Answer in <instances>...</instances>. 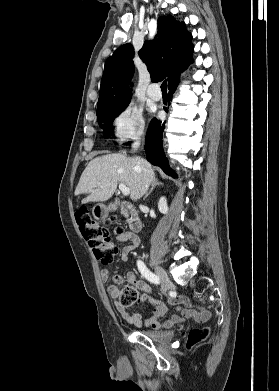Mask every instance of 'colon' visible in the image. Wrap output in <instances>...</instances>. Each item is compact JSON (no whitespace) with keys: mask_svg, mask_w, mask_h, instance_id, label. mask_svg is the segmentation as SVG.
Listing matches in <instances>:
<instances>
[{"mask_svg":"<svg viewBox=\"0 0 279 391\" xmlns=\"http://www.w3.org/2000/svg\"><path fill=\"white\" fill-rule=\"evenodd\" d=\"M76 221L83 238L90 245L95 257L103 264L113 261L118 252V246L111 240L109 233L110 222L99 223L93 219L87 209L76 213ZM117 234H123L120 227L116 229ZM120 300L122 306H130L138 299V291L131 285H119ZM210 329L208 327L194 328L187 338V347L194 348L200 342L208 338Z\"/></svg>","mask_w":279,"mask_h":391,"instance_id":"obj_1","label":"colon"}]
</instances>
